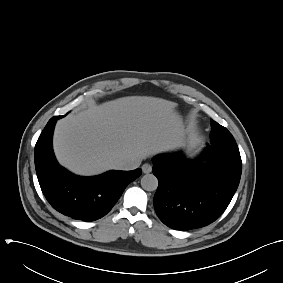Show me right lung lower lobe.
I'll use <instances>...</instances> for the list:
<instances>
[{
  "label": "right lung lower lobe",
  "mask_w": 283,
  "mask_h": 283,
  "mask_svg": "<svg viewBox=\"0 0 283 283\" xmlns=\"http://www.w3.org/2000/svg\"><path fill=\"white\" fill-rule=\"evenodd\" d=\"M49 120L35 146V168L43 194L51 206L63 215L82 221L105 216L120 198L127 185L141 175L133 171L112 170L93 177L76 176L55 159L52 136L56 121Z\"/></svg>",
  "instance_id": "right-lung-lower-lobe-1"
}]
</instances>
